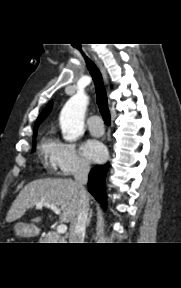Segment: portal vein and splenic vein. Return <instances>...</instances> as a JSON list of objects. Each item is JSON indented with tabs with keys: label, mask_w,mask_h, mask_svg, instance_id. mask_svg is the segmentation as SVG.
Here are the masks:
<instances>
[{
	"label": "portal vein and splenic vein",
	"mask_w": 181,
	"mask_h": 288,
	"mask_svg": "<svg viewBox=\"0 0 181 288\" xmlns=\"http://www.w3.org/2000/svg\"><path fill=\"white\" fill-rule=\"evenodd\" d=\"M43 206H45V207H47V208H50V209H51L54 213H56V214H61L60 209H59L56 205H54V204L45 203V202H38V203H36V207H37V208H42ZM66 231H67V225H65V224H60V225H58V227H57V232H58L59 234H64V233H66Z\"/></svg>",
	"instance_id": "1"
}]
</instances>
